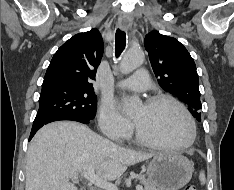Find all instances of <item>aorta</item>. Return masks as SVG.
<instances>
[{
	"instance_id": "obj_1",
	"label": "aorta",
	"mask_w": 234,
	"mask_h": 190,
	"mask_svg": "<svg viewBox=\"0 0 234 190\" xmlns=\"http://www.w3.org/2000/svg\"><path fill=\"white\" fill-rule=\"evenodd\" d=\"M143 60L144 54L142 50L130 49L123 55L119 68L123 74H128L138 68L143 63ZM123 101L127 109L130 111L137 105L139 99L136 97L124 96Z\"/></svg>"
}]
</instances>
